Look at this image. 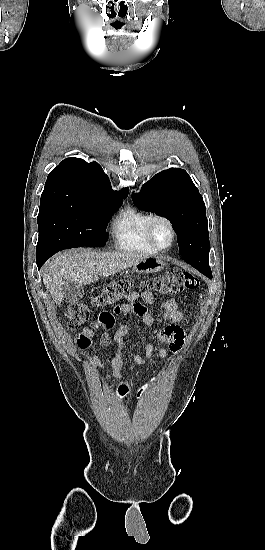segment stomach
Wrapping results in <instances>:
<instances>
[{"label": "stomach", "mask_w": 265, "mask_h": 550, "mask_svg": "<svg viewBox=\"0 0 265 550\" xmlns=\"http://www.w3.org/2000/svg\"><path fill=\"white\" fill-rule=\"evenodd\" d=\"M166 263L159 257H147L136 263L133 271L138 274L156 273L164 268Z\"/></svg>", "instance_id": "obj_1"}]
</instances>
